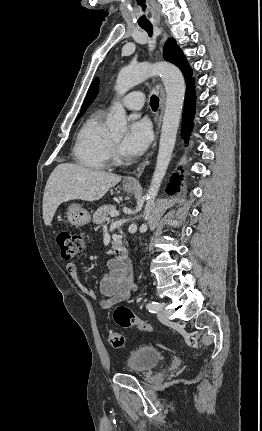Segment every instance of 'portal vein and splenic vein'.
I'll return each mask as SVG.
<instances>
[{
    "label": "portal vein and splenic vein",
    "mask_w": 262,
    "mask_h": 431,
    "mask_svg": "<svg viewBox=\"0 0 262 431\" xmlns=\"http://www.w3.org/2000/svg\"><path fill=\"white\" fill-rule=\"evenodd\" d=\"M119 215V213L117 212V211H112L111 213H110V216L111 217H116V216H118ZM107 221H109V218H107L106 219Z\"/></svg>",
    "instance_id": "18ae733b"
}]
</instances>
